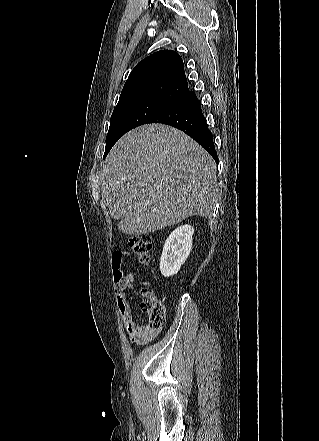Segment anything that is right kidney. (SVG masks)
I'll list each match as a JSON object with an SVG mask.
<instances>
[{
    "mask_svg": "<svg viewBox=\"0 0 319 441\" xmlns=\"http://www.w3.org/2000/svg\"><path fill=\"white\" fill-rule=\"evenodd\" d=\"M193 234L191 225H181L168 236L160 259V272L164 277L177 274L185 263L192 249Z\"/></svg>",
    "mask_w": 319,
    "mask_h": 441,
    "instance_id": "1",
    "label": "right kidney"
}]
</instances>
